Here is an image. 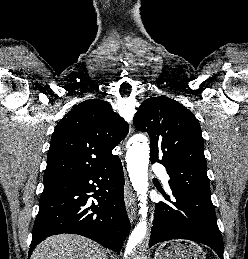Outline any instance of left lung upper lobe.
Returning a JSON list of instances; mask_svg holds the SVG:
<instances>
[{
	"label": "left lung upper lobe",
	"mask_w": 248,
	"mask_h": 259,
	"mask_svg": "<svg viewBox=\"0 0 248 259\" xmlns=\"http://www.w3.org/2000/svg\"><path fill=\"white\" fill-rule=\"evenodd\" d=\"M133 123L148 132L151 162L166 167L172 190L211 198L201 128L186 107L166 96L151 97L142 102Z\"/></svg>",
	"instance_id": "5c2ea615"
}]
</instances>
